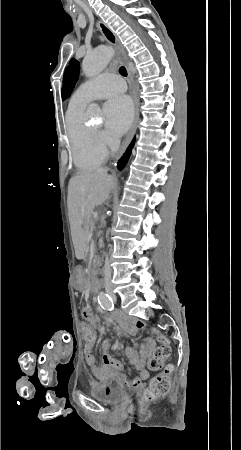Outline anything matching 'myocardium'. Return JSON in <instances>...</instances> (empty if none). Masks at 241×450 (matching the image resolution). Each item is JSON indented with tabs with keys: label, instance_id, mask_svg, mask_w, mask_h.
Masks as SVG:
<instances>
[{
	"label": "myocardium",
	"instance_id": "1",
	"mask_svg": "<svg viewBox=\"0 0 241 450\" xmlns=\"http://www.w3.org/2000/svg\"><path fill=\"white\" fill-rule=\"evenodd\" d=\"M95 131V130H94ZM96 135V134H95ZM98 135V134H97ZM86 142L89 140L90 142H96L98 139L96 137H90L89 139L86 137L84 139Z\"/></svg>",
	"mask_w": 241,
	"mask_h": 450
}]
</instances>
